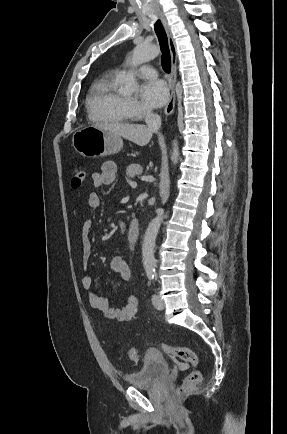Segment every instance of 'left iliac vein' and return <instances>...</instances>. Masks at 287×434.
<instances>
[{
	"instance_id": "1",
	"label": "left iliac vein",
	"mask_w": 287,
	"mask_h": 434,
	"mask_svg": "<svg viewBox=\"0 0 287 434\" xmlns=\"http://www.w3.org/2000/svg\"><path fill=\"white\" fill-rule=\"evenodd\" d=\"M152 303L156 309H158V310L164 309V302L159 295H157V294L153 295Z\"/></svg>"
}]
</instances>
